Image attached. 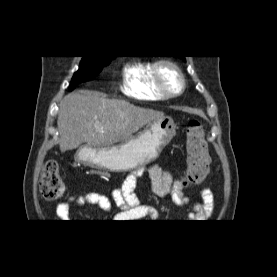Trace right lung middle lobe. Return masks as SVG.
Masks as SVG:
<instances>
[{"mask_svg":"<svg viewBox=\"0 0 277 277\" xmlns=\"http://www.w3.org/2000/svg\"><path fill=\"white\" fill-rule=\"evenodd\" d=\"M112 59L113 58L107 57H83L80 62L79 70L72 78L71 89L81 81L94 78Z\"/></svg>","mask_w":277,"mask_h":277,"instance_id":"dd1d6c3e","label":"right lung middle lobe"}]
</instances>
